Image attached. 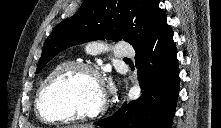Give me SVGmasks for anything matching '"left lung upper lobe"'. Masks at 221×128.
Wrapping results in <instances>:
<instances>
[{
    "mask_svg": "<svg viewBox=\"0 0 221 128\" xmlns=\"http://www.w3.org/2000/svg\"><path fill=\"white\" fill-rule=\"evenodd\" d=\"M158 5L159 0H85L49 35L36 72L59 52L88 41L123 39L133 47L142 44L166 16Z\"/></svg>",
    "mask_w": 221,
    "mask_h": 128,
    "instance_id": "5c2ea615",
    "label": "left lung upper lobe"
}]
</instances>
